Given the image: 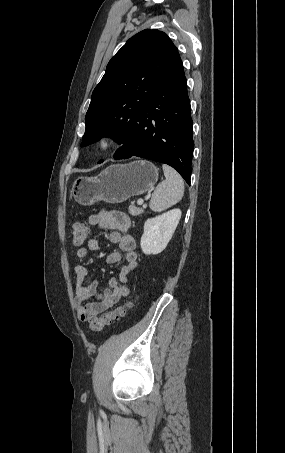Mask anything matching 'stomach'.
Listing matches in <instances>:
<instances>
[{
  "label": "stomach",
  "mask_w": 285,
  "mask_h": 453,
  "mask_svg": "<svg viewBox=\"0 0 285 453\" xmlns=\"http://www.w3.org/2000/svg\"><path fill=\"white\" fill-rule=\"evenodd\" d=\"M158 180V168L146 160L113 164L94 177H78L72 195L82 205L98 201L122 203L132 196L148 192Z\"/></svg>",
  "instance_id": "stomach-1"
}]
</instances>
